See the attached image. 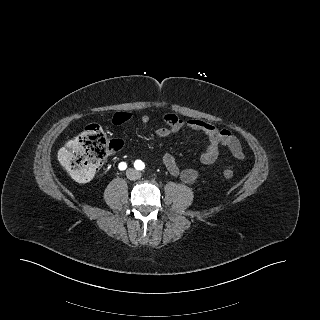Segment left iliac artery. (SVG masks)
Instances as JSON below:
<instances>
[{
	"label": "left iliac artery",
	"mask_w": 320,
	"mask_h": 320,
	"mask_svg": "<svg viewBox=\"0 0 320 320\" xmlns=\"http://www.w3.org/2000/svg\"><path fill=\"white\" fill-rule=\"evenodd\" d=\"M134 167L137 170H143L145 168V164L141 160H136L134 163Z\"/></svg>",
	"instance_id": "obj_1"
}]
</instances>
